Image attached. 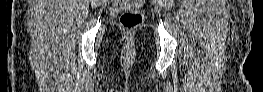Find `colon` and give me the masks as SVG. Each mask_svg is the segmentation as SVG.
<instances>
[{"label":"colon","instance_id":"5ec220e1","mask_svg":"<svg viewBox=\"0 0 263 92\" xmlns=\"http://www.w3.org/2000/svg\"><path fill=\"white\" fill-rule=\"evenodd\" d=\"M143 2V0L136 1L138 5H141ZM142 21L143 15L138 9L125 11L120 17L121 25L127 30H132L138 27L142 23Z\"/></svg>","mask_w":263,"mask_h":92}]
</instances>
